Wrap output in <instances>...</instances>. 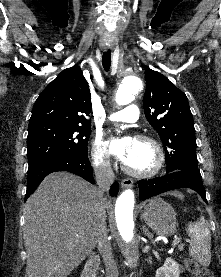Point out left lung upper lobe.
Listing matches in <instances>:
<instances>
[{"label": "left lung upper lobe", "mask_w": 221, "mask_h": 277, "mask_svg": "<svg viewBox=\"0 0 221 277\" xmlns=\"http://www.w3.org/2000/svg\"><path fill=\"white\" fill-rule=\"evenodd\" d=\"M145 79V117L162 139L166 173L182 170L201 176L193 117L186 95L164 75L150 68L145 70Z\"/></svg>", "instance_id": "1"}]
</instances>
